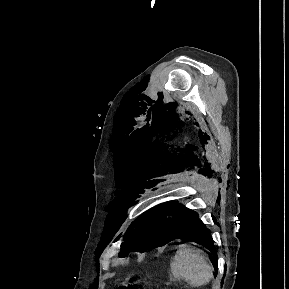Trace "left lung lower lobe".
Segmentation results:
<instances>
[{
    "mask_svg": "<svg viewBox=\"0 0 289 289\" xmlns=\"http://www.w3.org/2000/svg\"><path fill=\"white\" fill-rule=\"evenodd\" d=\"M160 210L168 222V242L172 239H185L206 247L216 258V250L210 236V230L198 218L193 210L183 208L175 202H168ZM217 271V266L214 265Z\"/></svg>",
    "mask_w": 289,
    "mask_h": 289,
    "instance_id": "1",
    "label": "left lung lower lobe"
}]
</instances>
